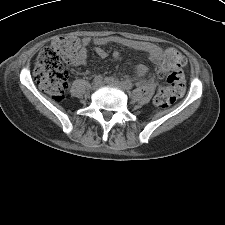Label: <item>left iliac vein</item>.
<instances>
[{
  "label": "left iliac vein",
  "instance_id": "4c4485c4",
  "mask_svg": "<svg viewBox=\"0 0 225 225\" xmlns=\"http://www.w3.org/2000/svg\"><path fill=\"white\" fill-rule=\"evenodd\" d=\"M108 83L111 84L112 86L119 88L122 91H126L128 88L124 83H122L118 80L112 79V78L108 79Z\"/></svg>",
  "mask_w": 225,
  "mask_h": 225
}]
</instances>
